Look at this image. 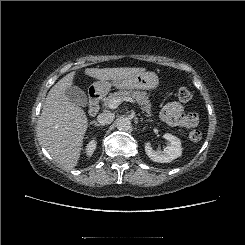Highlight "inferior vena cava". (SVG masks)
Returning <instances> with one entry per match:
<instances>
[{
  "label": "inferior vena cava",
  "mask_w": 245,
  "mask_h": 245,
  "mask_svg": "<svg viewBox=\"0 0 245 245\" xmlns=\"http://www.w3.org/2000/svg\"><path fill=\"white\" fill-rule=\"evenodd\" d=\"M115 115L111 112H103L97 116V121L101 125L111 124L114 120Z\"/></svg>",
  "instance_id": "inferior-vena-cava-1"
}]
</instances>
